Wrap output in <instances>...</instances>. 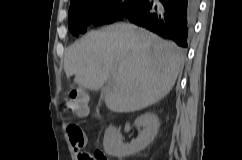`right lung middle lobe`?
I'll return each mask as SVG.
<instances>
[{
    "label": "right lung middle lobe",
    "mask_w": 242,
    "mask_h": 160,
    "mask_svg": "<svg viewBox=\"0 0 242 160\" xmlns=\"http://www.w3.org/2000/svg\"><path fill=\"white\" fill-rule=\"evenodd\" d=\"M141 0H83L70 5L68 27L74 36L87 31L92 23H112L120 20Z\"/></svg>",
    "instance_id": "dd1d6c3e"
}]
</instances>
